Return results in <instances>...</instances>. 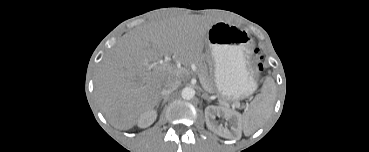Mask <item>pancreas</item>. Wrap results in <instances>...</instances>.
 I'll return each instance as SVG.
<instances>
[{
	"instance_id": "cf45deb5",
	"label": "pancreas",
	"mask_w": 369,
	"mask_h": 152,
	"mask_svg": "<svg viewBox=\"0 0 369 152\" xmlns=\"http://www.w3.org/2000/svg\"><path fill=\"white\" fill-rule=\"evenodd\" d=\"M198 76L202 83L203 88L209 93H214L215 89L212 82L209 79H207L202 72H200Z\"/></svg>"
}]
</instances>
